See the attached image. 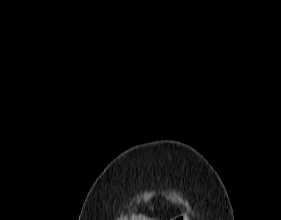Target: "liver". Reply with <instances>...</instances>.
I'll use <instances>...</instances> for the list:
<instances>
[{
    "label": "liver",
    "mask_w": 281,
    "mask_h": 220,
    "mask_svg": "<svg viewBox=\"0 0 281 220\" xmlns=\"http://www.w3.org/2000/svg\"><path fill=\"white\" fill-rule=\"evenodd\" d=\"M130 220H153V219H150V218H147L145 216H135L133 215Z\"/></svg>",
    "instance_id": "obj_1"
}]
</instances>
